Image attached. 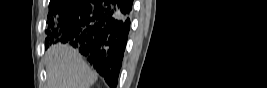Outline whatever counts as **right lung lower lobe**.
<instances>
[{
	"label": "right lung lower lobe",
	"instance_id": "obj_1",
	"mask_svg": "<svg viewBox=\"0 0 267 88\" xmlns=\"http://www.w3.org/2000/svg\"><path fill=\"white\" fill-rule=\"evenodd\" d=\"M132 7L133 0H73L57 19L49 20V39L76 47L114 88L130 31Z\"/></svg>",
	"mask_w": 267,
	"mask_h": 88
}]
</instances>
